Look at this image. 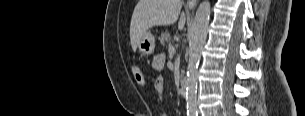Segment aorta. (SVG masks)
<instances>
[{
	"instance_id": "1",
	"label": "aorta",
	"mask_w": 305,
	"mask_h": 116,
	"mask_svg": "<svg viewBox=\"0 0 305 116\" xmlns=\"http://www.w3.org/2000/svg\"><path fill=\"white\" fill-rule=\"evenodd\" d=\"M211 7L208 0L200 3L190 30L189 60L186 78V101L189 114L196 113V93L198 80V66L201 50L205 44L210 21Z\"/></svg>"
}]
</instances>
